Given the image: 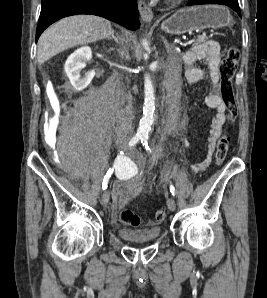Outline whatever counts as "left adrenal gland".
<instances>
[{
    "label": "left adrenal gland",
    "instance_id": "obj_1",
    "mask_svg": "<svg viewBox=\"0 0 267 298\" xmlns=\"http://www.w3.org/2000/svg\"><path fill=\"white\" fill-rule=\"evenodd\" d=\"M162 42H163L164 45H165V48H166L167 53H168L169 55H172V54L174 53L173 46H172L171 44H169V43L167 42V40H166L164 37H162Z\"/></svg>",
    "mask_w": 267,
    "mask_h": 298
}]
</instances>
